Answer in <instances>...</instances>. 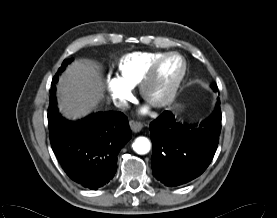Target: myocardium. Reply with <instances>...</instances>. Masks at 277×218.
Here are the masks:
<instances>
[{
	"label": "myocardium",
	"mask_w": 277,
	"mask_h": 218,
	"mask_svg": "<svg viewBox=\"0 0 277 218\" xmlns=\"http://www.w3.org/2000/svg\"><path fill=\"white\" fill-rule=\"evenodd\" d=\"M170 57L179 58V60L181 61L180 72L177 78L172 82L170 87L167 89V91L161 97L154 98L150 94V87L155 80V77L160 65ZM186 72H187V62H186V59L181 54L177 52L164 53L163 55H161L160 57H158L152 62V64L148 68L146 74L144 75L140 83V92L143 99L154 107H164L170 104L174 100L176 93L186 75Z\"/></svg>",
	"instance_id": "obj_1"
}]
</instances>
